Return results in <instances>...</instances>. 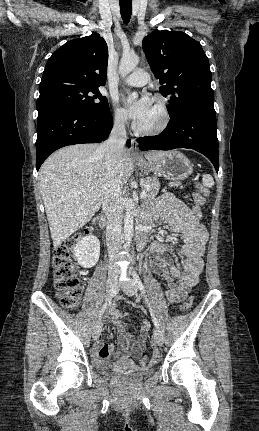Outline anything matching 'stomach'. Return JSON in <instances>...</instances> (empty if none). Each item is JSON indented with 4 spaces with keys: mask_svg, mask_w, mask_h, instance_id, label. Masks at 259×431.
Wrapping results in <instances>:
<instances>
[{
    "mask_svg": "<svg viewBox=\"0 0 259 431\" xmlns=\"http://www.w3.org/2000/svg\"><path fill=\"white\" fill-rule=\"evenodd\" d=\"M138 166L145 173H154L169 180H184L193 172L190 160L179 151H168L154 162L139 161Z\"/></svg>",
    "mask_w": 259,
    "mask_h": 431,
    "instance_id": "stomach-1",
    "label": "stomach"
}]
</instances>
